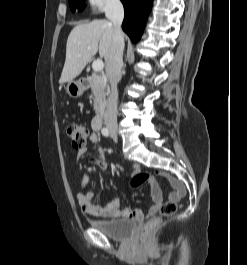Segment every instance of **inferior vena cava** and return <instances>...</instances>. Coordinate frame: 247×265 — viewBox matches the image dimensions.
Masks as SVG:
<instances>
[{
    "label": "inferior vena cava",
    "mask_w": 247,
    "mask_h": 265,
    "mask_svg": "<svg viewBox=\"0 0 247 265\" xmlns=\"http://www.w3.org/2000/svg\"><path fill=\"white\" fill-rule=\"evenodd\" d=\"M105 14L113 25L112 44L105 60L106 75L111 85L105 113V124L107 126H114L117 125V84L121 79L124 50V35L121 29V24L124 18V9L120 0H111L107 6Z\"/></svg>",
    "instance_id": "1"
}]
</instances>
